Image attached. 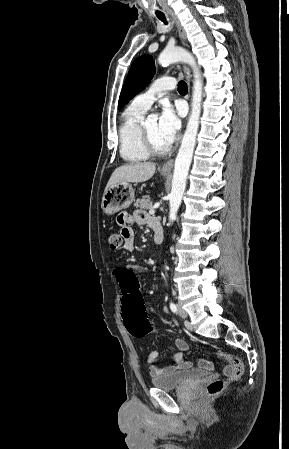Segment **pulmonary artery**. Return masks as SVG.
Wrapping results in <instances>:
<instances>
[{
    "label": "pulmonary artery",
    "mask_w": 289,
    "mask_h": 449,
    "mask_svg": "<svg viewBox=\"0 0 289 449\" xmlns=\"http://www.w3.org/2000/svg\"><path fill=\"white\" fill-rule=\"evenodd\" d=\"M175 86L176 82L173 77H160L152 83L147 91L137 95L132 104L147 110L165 91L172 90Z\"/></svg>",
    "instance_id": "obj_1"
}]
</instances>
